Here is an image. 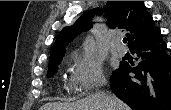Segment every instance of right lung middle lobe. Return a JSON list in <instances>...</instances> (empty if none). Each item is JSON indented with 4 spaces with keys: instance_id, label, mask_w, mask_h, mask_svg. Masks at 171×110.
<instances>
[{
    "instance_id": "right-lung-middle-lobe-1",
    "label": "right lung middle lobe",
    "mask_w": 171,
    "mask_h": 110,
    "mask_svg": "<svg viewBox=\"0 0 171 110\" xmlns=\"http://www.w3.org/2000/svg\"><path fill=\"white\" fill-rule=\"evenodd\" d=\"M62 58H63V55L57 56L49 60V67H48V72H47L48 77L52 76L54 72L57 70V66L62 61Z\"/></svg>"
}]
</instances>
